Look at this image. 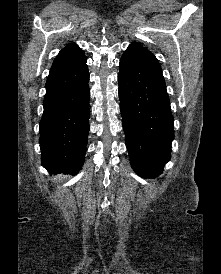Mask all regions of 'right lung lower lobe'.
Masks as SVG:
<instances>
[{
	"instance_id": "98d812e1",
	"label": "right lung lower lobe",
	"mask_w": 221,
	"mask_h": 274,
	"mask_svg": "<svg viewBox=\"0 0 221 274\" xmlns=\"http://www.w3.org/2000/svg\"><path fill=\"white\" fill-rule=\"evenodd\" d=\"M89 72L86 58L51 72L40 121L42 165L50 174H77L89 132Z\"/></svg>"
}]
</instances>
